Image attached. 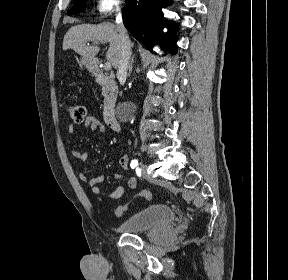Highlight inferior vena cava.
Here are the masks:
<instances>
[{
	"instance_id": "obj_1",
	"label": "inferior vena cava",
	"mask_w": 288,
	"mask_h": 280,
	"mask_svg": "<svg viewBox=\"0 0 288 280\" xmlns=\"http://www.w3.org/2000/svg\"><path fill=\"white\" fill-rule=\"evenodd\" d=\"M116 12V26L121 40V51L119 54L117 76L118 78L125 79L127 77V69L129 67L128 65L131 56V45L127 30L122 22L121 8L117 7Z\"/></svg>"
}]
</instances>
